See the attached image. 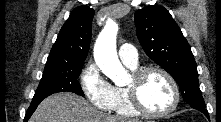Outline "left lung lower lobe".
I'll list each match as a JSON object with an SVG mask.
<instances>
[{"mask_svg":"<svg viewBox=\"0 0 221 122\" xmlns=\"http://www.w3.org/2000/svg\"><path fill=\"white\" fill-rule=\"evenodd\" d=\"M193 108L201 111L202 113L205 114V116L207 118H209V114H208V111L206 110L205 106H199V107H193Z\"/></svg>","mask_w":221,"mask_h":122,"instance_id":"1","label":"left lung lower lobe"}]
</instances>
